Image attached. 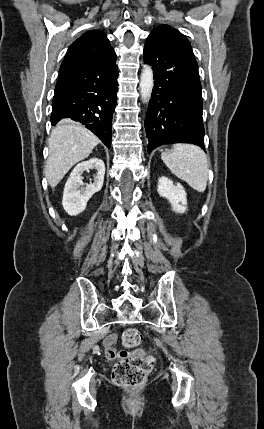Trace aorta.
Returning <instances> with one entry per match:
<instances>
[{"label":"aorta","mask_w":264,"mask_h":429,"mask_svg":"<svg viewBox=\"0 0 264 429\" xmlns=\"http://www.w3.org/2000/svg\"><path fill=\"white\" fill-rule=\"evenodd\" d=\"M140 93L143 103H148L151 97L154 79L151 66L145 65L140 77Z\"/></svg>","instance_id":"obj_1"}]
</instances>
